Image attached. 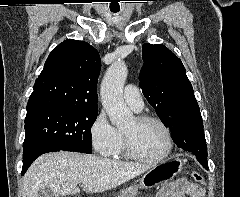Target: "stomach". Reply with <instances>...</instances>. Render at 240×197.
Instances as JSON below:
<instances>
[{"label":"stomach","mask_w":240,"mask_h":197,"mask_svg":"<svg viewBox=\"0 0 240 197\" xmlns=\"http://www.w3.org/2000/svg\"><path fill=\"white\" fill-rule=\"evenodd\" d=\"M182 166V159L172 157L168 161L150 168L140 179L139 185L130 186L121 190L118 197H135L138 188L149 189L157 186L165 180L173 178L178 172H180Z\"/></svg>","instance_id":"obj_1"}]
</instances>
